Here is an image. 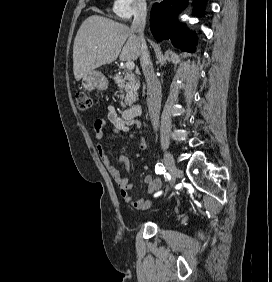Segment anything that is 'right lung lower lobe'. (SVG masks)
Masks as SVG:
<instances>
[{"label": "right lung lower lobe", "instance_id": "right-lung-lower-lobe-1", "mask_svg": "<svg viewBox=\"0 0 272 282\" xmlns=\"http://www.w3.org/2000/svg\"><path fill=\"white\" fill-rule=\"evenodd\" d=\"M206 0H195L194 14L201 15ZM187 0H164L155 3L150 13V27L157 41L170 39L183 51L194 52L197 37L177 21V16L186 7Z\"/></svg>", "mask_w": 272, "mask_h": 282}]
</instances>
